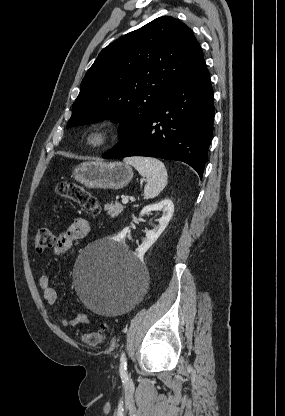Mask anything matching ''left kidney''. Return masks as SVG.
<instances>
[{
    "mask_svg": "<svg viewBox=\"0 0 285 416\" xmlns=\"http://www.w3.org/2000/svg\"><path fill=\"white\" fill-rule=\"evenodd\" d=\"M148 212H162V218L159 220L158 228H155V230H146V238L143 244L136 248V254L139 256V258L144 256L145 252L149 250L150 246H153L154 242H156L160 234H162L165 228H167L168 222H170L173 216L174 204L171 202V200H162V202H159V204H151V206H145V208L141 210L140 216H144V214H148ZM129 228L130 226L122 230L120 234L121 240L126 238V234H128Z\"/></svg>",
    "mask_w": 285,
    "mask_h": 416,
    "instance_id": "obj_1",
    "label": "left kidney"
}]
</instances>
